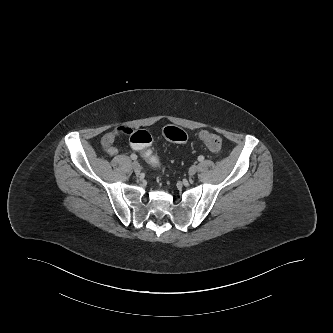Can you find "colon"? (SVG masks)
Returning a JSON list of instances; mask_svg holds the SVG:
<instances>
[{"instance_id": "colon-1", "label": "colon", "mask_w": 333, "mask_h": 333, "mask_svg": "<svg viewBox=\"0 0 333 333\" xmlns=\"http://www.w3.org/2000/svg\"><path fill=\"white\" fill-rule=\"evenodd\" d=\"M135 137L130 140V147L135 151L138 158L142 159V163L148 172L152 175H158L163 170L162 157L150 147L152 143V136L145 130H137ZM164 136L166 139L175 143H184L187 140L186 132L175 126H168L164 129ZM200 139L205 146L212 152H219L222 146L221 138L212 132L202 131L199 134Z\"/></svg>"}]
</instances>
